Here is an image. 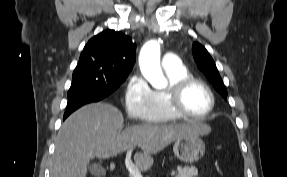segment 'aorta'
Masks as SVG:
<instances>
[{"instance_id":"1","label":"aorta","mask_w":287,"mask_h":177,"mask_svg":"<svg viewBox=\"0 0 287 177\" xmlns=\"http://www.w3.org/2000/svg\"><path fill=\"white\" fill-rule=\"evenodd\" d=\"M139 65L143 76L154 88L162 89L167 85L160 67V45L157 41L151 40L142 47Z\"/></svg>"}]
</instances>
